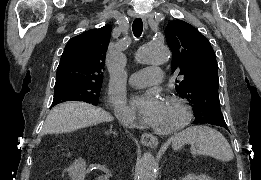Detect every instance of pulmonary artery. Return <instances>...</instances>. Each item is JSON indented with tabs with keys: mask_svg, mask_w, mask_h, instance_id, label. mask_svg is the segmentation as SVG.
<instances>
[{
	"mask_svg": "<svg viewBox=\"0 0 261 180\" xmlns=\"http://www.w3.org/2000/svg\"><path fill=\"white\" fill-rule=\"evenodd\" d=\"M162 69H141L128 77V82L135 85V88L151 89L150 82L161 80Z\"/></svg>",
	"mask_w": 261,
	"mask_h": 180,
	"instance_id": "pulmonary-artery-1",
	"label": "pulmonary artery"
}]
</instances>
